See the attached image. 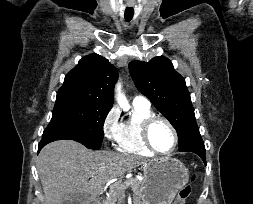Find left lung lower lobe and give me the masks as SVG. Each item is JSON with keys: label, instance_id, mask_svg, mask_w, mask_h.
<instances>
[{"label": "left lung lower lobe", "instance_id": "0a47b994", "mask_svg": "<svg viewBox=\"0 0 253 204\" xmlns=\"http://www.w3.org/2000/svg\"><path fill=\"white\" fill-rule=\"evenodd\" d=\"M188 141V144L182 145L181 147H179L178 150L180 152L188 151L196 153L202 158L203 162L206 164L205 147L197 125L194 126L189 133Z\"/></svg>", "mask_w": 253, "mask_h": 204}]
</instances>
